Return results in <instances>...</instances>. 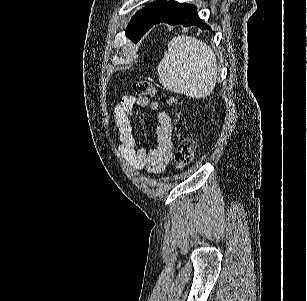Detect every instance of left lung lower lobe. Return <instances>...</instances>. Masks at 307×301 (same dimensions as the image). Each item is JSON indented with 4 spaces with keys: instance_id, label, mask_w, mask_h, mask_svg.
<instances>
[{
    "instance_id": "left-lung-lower-lobe-1",
    "label": "left lung lower lobe",
    "mask_w": 307,
    "mask_h": 301,
    "mask_svg": "<svg viewBox=\"0 0 307 301\" xmlns=\"http://www.w3.org/2000/svg\"><path fill=\"white\" fill-rule=\"evenodd\" d=\"M162 22L168 23L170 25L181 24L185 27L197 25L202 30L209 28V26L197 15L196 7L190 4L176 3L173 7L162 14L157 20H155L152 26Z\"/></svg>"
}]
</instances>
